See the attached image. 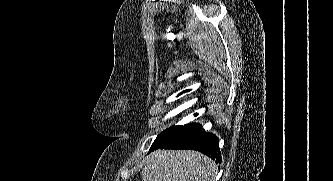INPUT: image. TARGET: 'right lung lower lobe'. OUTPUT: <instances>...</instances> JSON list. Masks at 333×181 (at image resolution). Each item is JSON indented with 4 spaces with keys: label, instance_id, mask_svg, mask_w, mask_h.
<instances>
[{
    "label": "right lung lower lobe",
    "instance_id": "1",
    "mask_svg": "<svg viewBox=\"0 0 333 181\" xmlns=\"http://www.w3.org/2000/svg\"><path fill=\"white\" fill-rule=\"evenodd\" d=\"M158 148L197 150L212 159H216L219 163L221 162L218 138L212 133L201 131V126L199 125L175 142L165 146L152 147L149 152Z\"/></svg>",
    "mask_w": 333,
    "mask_h": 181
}]
</instances>
